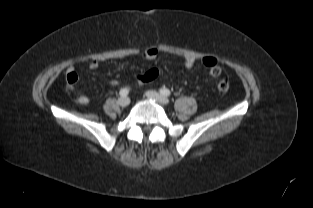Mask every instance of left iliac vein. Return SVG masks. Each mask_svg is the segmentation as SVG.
Returning <instances> with one entry per match:
<instances>
[{
    "label": "left iliac vein",
    "mask_w": 313,
    "mask_h": 208,
    "mask_svg": "<svg viewBox=\"0 0 313 208\" xmlns=\"http://www.w3.org/2000/svg\"><path fill=\"white\" fill-rule=\"evenodd\" d=\"M146 97L149 99L155 100L161 104H168L169 103V99L166 96L159 94L156 91H152V90L147 91Z\"/></svg>",
    "instance_id": "obj_1"
}]
</instances>
